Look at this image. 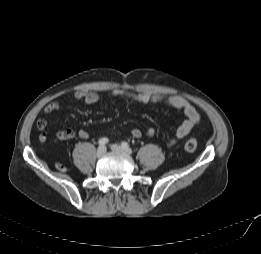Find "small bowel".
<instances>
[{
  "label": "small bowel",
  "mask_w": 261,
  "mask_h": 254,
  "mask_svg": "<svg viewBox=\"0 0 261 254\" xmlns=\"http://www.w3.org/2000/svg\"><path fill=\"white\" fill-rule=\"evenodd\" d=\"M110 94L114 97L128 98L143 104H149L155 101L164 100L173 108L181 110L185 115V120L177 128L175 137L170 140L169 146L171 147L176 145L179 140L185 138L191 132V130L200 122V115L195 107L188 100L180 96L163 95L150 91L131 93L123 89L113 90ZM73 98L82 101L86 105L95 104L101 99L99 94L87 91H76L75 93H73ZM61 107L62 103L60 100H53L44 108V112L47 114L54 113L59 111ZM46 127L47 122L45 119H40L37 122V129L39 131V138L41 142H45L47 139ZM130 134L134 138H140L142 136L141 130L137 128L132 129L130 131ZM146 134L149 137L154 136L155 129L153 127L148 128ZM76 136L82 139H87L88 133L84 130H79L78 132H75L72 129L60 130L56 133V138L59 140H71Z\"/></svg>",
  "instance_id": "1"
}]
</instances>
